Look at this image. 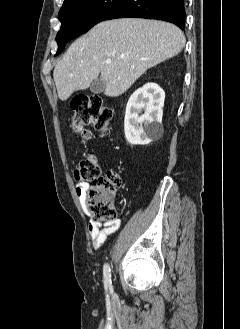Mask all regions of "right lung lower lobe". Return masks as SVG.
Returning a JSON list of instances; mask_svg holds the SVG:
<instances>
[{
	"mask_svg": "<svg viewBox=\"0 0 240 329\" xmlns=\"http://www.w3.org/2000/svg\"><path fill=\"white\" fill-rule=\"evenodd\" d=\"M184 0H122L102 21L116 18H148L185 28Z\"/></svg>",
	"mask_w": 240,
	"mask_h": 329,
	"instance_id": "right-lung-lower-lobe-1",
	"label": "right lung lower lobe"
}]
</instances>
